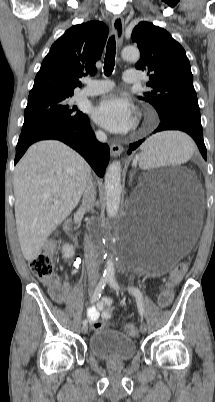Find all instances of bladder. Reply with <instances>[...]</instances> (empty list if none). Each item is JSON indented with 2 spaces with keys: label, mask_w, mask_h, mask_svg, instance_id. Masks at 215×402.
Instances as JSON below:
<instances>
[{
  "label": "bladder",
  "mask_w": 215,
  "mask_h": 402,
  "mask_svg": "<svg viewBox=\"0 0 215 402\" xmlns=\"http://www.w3.org/2000/svg\"><path fill=\"white\" fill-rule=\"evenodd\" d=\"M88 347L92 355L108 362L127 361L136 354V343L132 337L108 328L95 330L89 338Z\"/></svg>",
  "instance_id": "1"
}]
</instances>
